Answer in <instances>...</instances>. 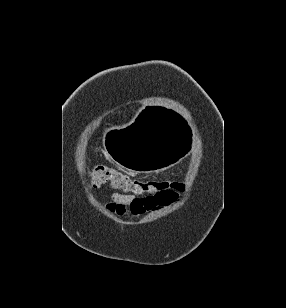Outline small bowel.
<instances>
[{
	"mask_svg": "<svg viewBox=\"0 0 286 308\" xmlns=\"http://www.w3.org/2000/svg\"><path fill=\"white\" fill-rule=\"evenodd\" d=\"M178 200V190H170L164 196L148 198L116 193L111 196L110 201L107 203V208L118 216L128 213L138 216L157 206L169 205Z\"/></svg>",
	"mask_w": 286,
	"mask_h": 308,
	"instance_id": "c3829d8e",
	"label": "small bowel"
}]
</instances>
